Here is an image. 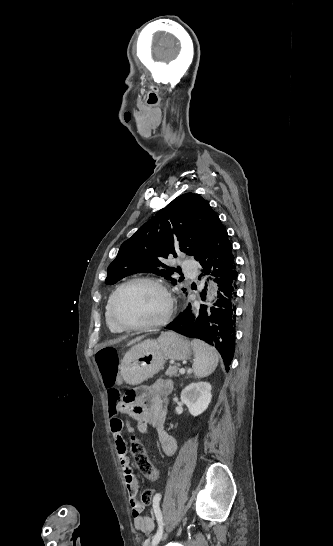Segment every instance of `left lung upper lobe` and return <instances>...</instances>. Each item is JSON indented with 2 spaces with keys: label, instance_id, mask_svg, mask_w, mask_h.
Returning a JSON list of instances; mask_svg holds the SVG:
<instances>
[{
  "label": "left lung upper lobe",
  "instance_id": "obj_1",
  "mask_svg": "<svg viewBox=\"0 0 333 546\" xmlns=\"http://www.w3.org/2000/svg\"><path fill=\"white\" fill-rule=\"evenodd\" d=\"M218 219L209 203L197 194L175 198L120 246L108 266L106 284L141 272L159 274L176 284L171 275L177 269L170 267L167 259L180 253L196 258L209 242Z\"/></svg>",
  "mask_w": 333,
  "mask_h": 546
}]
</instances>
